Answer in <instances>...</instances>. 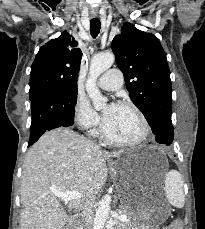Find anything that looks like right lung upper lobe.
Segmentation results:
<instances>
[{"mask_svg":"<svg viewBox=\"0 0 205 229\" xmlns=\"http://www.w3.org/2000/svg\"><path fill=\"white\" fill-rule=\"evenodd\" d=\"M76 46L75 39L64 31L39 49L31 67L30 99L50 91H66L68 85L77 86L82 52Z\"/></svg>","mask_w":205,"mask_h":229,"instance_id":"obj_1","label":"right lung upper lobe"}]
</instances>
